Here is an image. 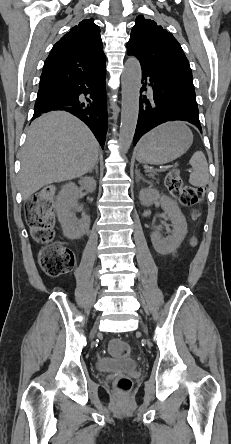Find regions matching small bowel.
Returning <instances> with one entry per match:
<instances>
[{
  "instance_id": "c3829d8e",
  "label": "small bowel",
  "mask_w": 231,
  "mask_h": 444,
  "mask_svg": "<svg viewBox=\"0 0 231 444\" xmlns=\"http://www.w3.org/2000/svg\"><path fill=\"white\" fill-rule=\"evenodd\" d=\"M192 244H195V240L192 241Z\"/></svg>"
}]
</instances>
